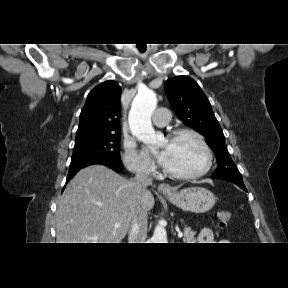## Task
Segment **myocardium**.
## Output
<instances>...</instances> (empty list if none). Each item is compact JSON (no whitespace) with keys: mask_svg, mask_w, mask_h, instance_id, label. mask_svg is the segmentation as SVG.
<instances>
[{"mask_svg":"<svg viewBox=\"0 0 288 288\" xmlns=\"http://www.w3.org/2000/svg\"><path fill=\"white\" fill-rule=\"evenodd\" d=\"M182 136H191L200 144V146L202 147L206 155L205 166L197 172L179 173V172H175L170 169H167L164 165H162L163 173L169 177H172L175 179H181V180L197 179L206 175L211 170L212 165H213V152H212L211 147L209 146L206 139L201 133L191 128L176 129L168 134V139L174 140Z\"/></svg>","mask_w":288,"mask_h":288,"instance_id":"myocardium-1","label":"myocardium"}]
</instances>
